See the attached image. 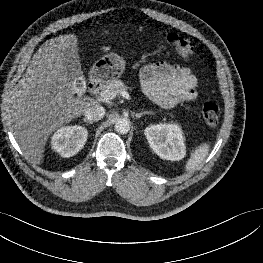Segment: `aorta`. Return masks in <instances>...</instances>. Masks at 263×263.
Listing matches in <instances>:
<instances>
[{"instance_id": "762f6f07", "label": "aorta", "mask_w": 263, "mask_h": 263, "mask_svg": "<svg viewBox=\"0 0 263 263\" xmlns=\"http://www.w3.org/2000/svg\"><path fill=\"white\" fill-rule=\"evenodd\" d=\"M114 129L119 134H126L130 130V122L126 118L117 119Z\"/></svg>"}]
</instances>
